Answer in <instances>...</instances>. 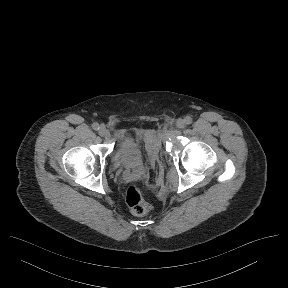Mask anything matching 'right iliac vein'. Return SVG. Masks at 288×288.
<instances>
[{
	"label": "right iliac vein",
	"mask_w": 288,
	"mask_h": 288,
	"mask_svg": "<svg viewBox=\"0 0 288 288\" xmlns=\"http://www.w3.org/2000/svg\"><path fill=\"white\" fill-rule=\"evenodd\" d=\"M98 133L100 136H106L108 134V131L104 125H101L98 129Z\"/></svg>",
	"instance_id": "63e3f726"
}]
</instances>
